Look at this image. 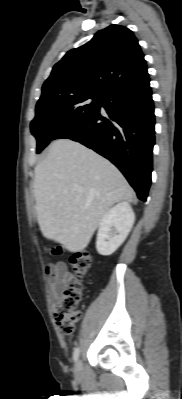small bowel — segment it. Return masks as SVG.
I'll list each match as a JSON object with an SVG mask.
<instances>
[{
  "mask_svg": "<svg viewBox=\"0 0 182 399\" xmlns=\"http://www.w3.org/2000/svg\"><path fill=\"white\" fill-rule=\"evenodd\" d=\"M46 275L50 285L53 306L56 307L63 293L70 285L73 274L64 262H56L47 265Z\"/></svg>",
  "mask_w": 182,
  "mask_h": 399,
  "instance_id": "small-bowel-1",
  "label": "small bowel"
}]
</instances>
